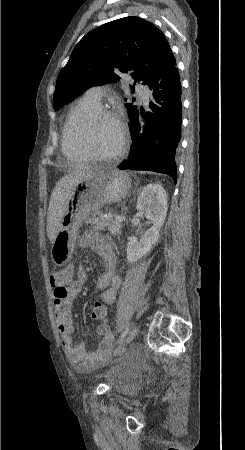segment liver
<instances>
[{
    "label": "liver",
    "instance_id": "1",
    "mask_svg": "<svg viewBox=\"0 0 245 450\" xmlns=\"http://www.w3.org/2000/svg\"><path fill=\"white\" fill-rule=\"evenodd\" d=\"M96 169L85 168L73 171L60 179L51 194L47 211V236L53 243L58 226L64 214L65 206L72 193L73 187L81 179L92 175Z\"/></svg>",
    "mask_w": 245,
    "mask_h": 450
}]
</instances>
